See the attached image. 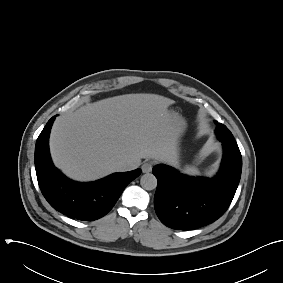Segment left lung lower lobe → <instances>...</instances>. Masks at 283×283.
<instances>
[{
	"instance_id": "1",
	"label": "left lung lower lobe",
	"mask_w": 283,
	"mask_h": 283,
	"mask_svg": "<svg viewBox=\"0 0 283 283\" xmlns=\"http://www.w3.org/2000/svg\"><path fill=\"white\" fill-rule=\"evenodd\" d=\"M222 144L221 168L212 179L188 177L163 164L154 166L152 172L158 180L154 206L164 225L192 230L216 221L225 213L240 181L242 157L238 146Z\"/></svg>"
}]
</instances>
